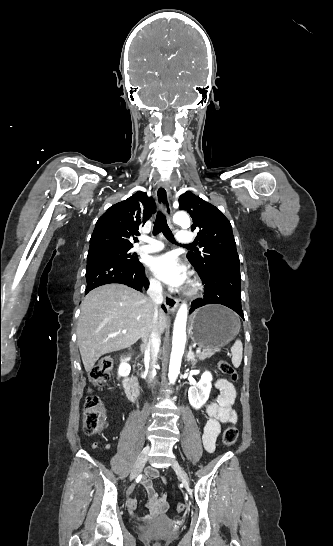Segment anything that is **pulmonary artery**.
<instances>
[{
  "label": "pulmonary artery",
  "mask_w": 333,
  "mask_h": 546,
  "mask_svg": "<svg viewBox=\"0 0 333 546\" xmlns=\"http://www.w3.org/2000/svg\"><path fill=\"white\" fill-rule=\"evenodd\" d=\"M193 240V235L188 231L181 230L177 233V241L179 244L191 243ZM162 249L163 244L155 239H149L147 240L146 244L137 248V250L142 253H155L161 251Z\"/></svg>",
  "instance_id": "pulmonary-artery-1"
}]
</instances>
